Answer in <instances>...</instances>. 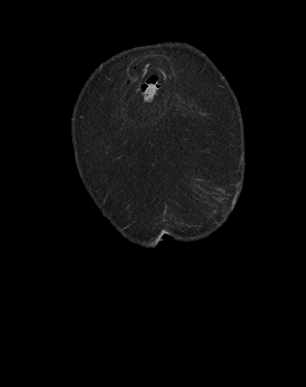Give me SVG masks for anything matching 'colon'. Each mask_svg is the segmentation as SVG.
<instances>
[{"label":"colon","instance_id":"obj_1","mask_svg":"<svg viewBox=\"0 0 306 387\" xmlns=\"http://www.w3.org/2000/svg\"><path fill=\"white\" fill-rule=\"evenodd\" d=\"M160 84L156 79L150 78L142 85V93L147 100H152L159 92Z\"/></svg>","mask_w":306,"mask_h":387}]
</instances>
